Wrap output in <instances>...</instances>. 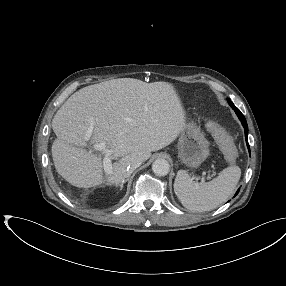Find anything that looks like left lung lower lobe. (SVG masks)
Returning <instances> with one entry per match:
<instances>
[{"mask_svg":"<svg viewBox=\"0 0 286 286\" xmlns=\"http://www.w3.org/2000/svg\"><path fill=\"white\" fill-rule=\"evenodd\" d=\"M232 108H233V110L235 111V113L237 114L238 118L240 119V121H241V123H242V125H243V127H244L246 143H247V147H248L249 153H250V147H249V143H248V126H247L246 119H245V117L243 116V114L241 113V111L238 110L237 107L233 106ZM238 192H239V189H238V191L236 192L235 196L238 194Z\"/></svg>","mask_w":286,"mask_h":286,"instance_id":"obj_1","label":"left lung lower lobe"}]
</instances>
